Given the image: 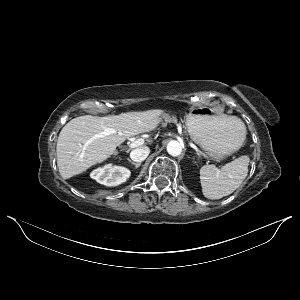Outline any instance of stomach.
Returning <instances> with one entry per match:
<instances>
[{"label": "stomach", "instance_id": "stomach-1", "mask_svg": "<svg viewBox=\"0 0 300 300\" xmlns=\"http://www.w3.org/2000/svg\"><path fill=\"white\" fill-rule=\"evenodd\" d=\"M186 126L191 138L213 160H222L235 153L245 140L233 119L209 107L191 109Z\"/></svg>", "mask_w": 300, "mask_h": 300}]
</instances>
